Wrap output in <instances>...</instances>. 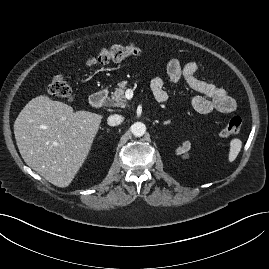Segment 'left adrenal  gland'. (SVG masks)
Listing matches in <instances>:
<instances>
[{
	"mask_svg": "<svg viewBox=\"0 0 269 269\" xmlns=\"http://www.w3.org/2000/svg\"><path fill=\"white\" fill-rule=\"evenodd\" d=\"M168 124H170V121L164 123V125H168Z\"/></svg>",
	"mask_w": 269,
	"mask_h": 269,
	"instance_id": "left-adrenal-gland-1",
	"label": "left adrenal gland"
}]
</instances>
